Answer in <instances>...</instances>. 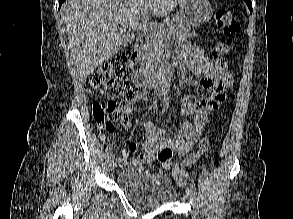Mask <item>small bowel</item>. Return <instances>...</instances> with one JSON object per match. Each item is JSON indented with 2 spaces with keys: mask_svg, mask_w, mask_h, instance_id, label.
I'll return each instance as SVG.
<instances>
[{
  "mask_svg": "<svg viewBox=\"0 0 293 219\" xmlns=\"http://www.w3.org/2000/svg\"><path fill=\"white\" fill-rule=\"evenodd\" d=\"M178 50L180 60L189 71L192 74L202 76L192 85L210 89L212 94L210 97L199 101H193L187 97L183 99L181 113L184 116L193 117V120L184 122L175 136H168L164 130H157L153 122L145 121L143 123L145 131L142 135L144 152H137L136 144L130 143L128 150L123 151L118 160L120 166L153 161L158 152L166 147L175 150L179 155L187 154L201 137L209 116L225 101L226 90L233 84L232 76L216 70L202 49L191 43L180 42ZM148 95L147 91H142L136 95L134 102L144 101L148 98ZM123 126L128 130L132 127V122L129 120ZM98 129L101 130L99 127ZM100 138L105 140V135L100 133ZM129 152L135 154L134 161L129 160ZM181 177H184L183 173Z\"/></svg>",
  "mask_w": 293,
  "mask_h": 219,
  "instance_id": "obj_1",
  "label": "small bowel"
}]
</instances>
